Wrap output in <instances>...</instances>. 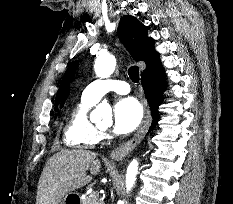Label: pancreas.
Wrapping results in <instances>:
<instances>
[{"instance_id": "cf45deb5", "label": "pancreas", "mask_w": 233, "mask_h": 204, "mask_svg": "<svg viewBox=\"0 0 233 204\" xmlns=\"http://www.w3.org/2000/svg\"><path fill=\"white\" fill-rule=\"evenodd\" d=\"M98 197H93L91 194L86 196L84 199H81V204H103L102 202L97 201Z\"/></svg>"}]
</instances>
